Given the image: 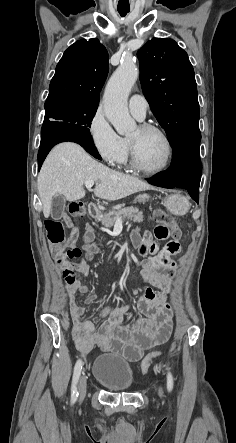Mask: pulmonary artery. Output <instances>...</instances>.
I'll list each match as a JSON object with an SVG mask.
<instances>
[{
    "label": "pulmonary artery",
    "mask_w": 236,
    "mask_h": 443,
    "mask_svg": "<svg viewBox=\"0 0 236 443\" xmlns=\"http://www.w3.org/2000/svg\"><path fill=\"white\" fill-rule=\"evenodd\" d=\"M148 109V102L144 96L133 94L129 98V110L131 114L138 120H143Z\"/></svg>",
    "instance_id": "obj_1"
}]
</instances>
